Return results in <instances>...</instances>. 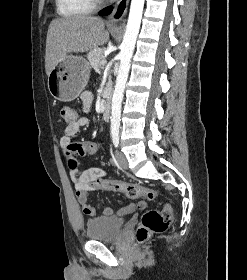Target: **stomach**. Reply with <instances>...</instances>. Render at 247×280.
Returning <instances> with one entry per match:
<instances>
[{"mask_svg": "<svg viewBox=\"0 0 247 280\" xmlns=\"http://www.w3.org/2000/svg\"><path fill=\"white\" fill-rule=\"evenodd\" d=\"M90 66L80 56L67 55L60 60L48 76V89L52 96L62 102L76 99L86 86Z\"/></svg>", "mask_w": 247, "mask_h": 280, "instance_id": "stomach-1", "label": "stomach"}]
</instances>
